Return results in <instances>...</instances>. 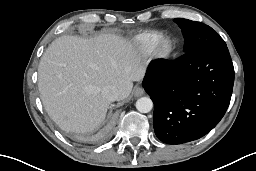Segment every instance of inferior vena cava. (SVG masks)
<instances>
[{
	"mask_svg": "<svg viewBox=\"0 0 256 171\" xmlns=\"http://www.w3.org/2000/svg\"><path fill=\"white\" fill-rule=\"evenodd\" d=\"M102 95L110 102L116 101L119 98V91L113 85H107L102 89Z\"/></svg>",
	"mask_w": 256,
	"mask_h": 171,
	"instance_id": "inferior-vena-cava-1",
	"label": "inferior vena cava"
}]
</instances>
